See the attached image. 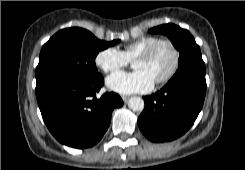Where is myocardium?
I'll list each match as a JSON object with an SVG mask.
<instances>
[{
    "label": "myocardium",
    "mask_w": 245,
    "mask_h": 170,
    "mask_svg": "<svg viewBox=\"0 0 245 170\" xmlns=\"http://www.w3.org/2000/svg\"><path fill=\"white\" fill-rule=\"evenodd\" d=\"M161 44H166L171 48L174 60H173V64L170 70L168 71V73L164 77L156 80L155 81L156 84H165L169 82L173 78V76L176 74L179 64H180V51L176 47V45L170 39H166V38L157 39L152 44H150L146 49L140 52L135 58V60L149 58L153 54L155 49Z\"/></svg>",
    "instance_id": "f54148a6"
}]
</instances>
